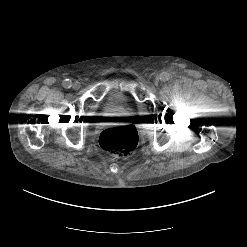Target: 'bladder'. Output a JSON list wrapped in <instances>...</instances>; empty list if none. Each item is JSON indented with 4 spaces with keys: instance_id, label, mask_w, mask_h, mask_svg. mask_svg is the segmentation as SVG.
<instances>
[{
    "instance_id": "obj_1",
    "label": "bladder",
    "mask_w": 247,
    "mask_h": 247,
    "mask_svg": "<svg viewBox=\"0 0 247 247\" xmlns=\"http://www.w3.org/2000/svg\"><path fill=\"white\" fill-rule=\"evenodd\" d=\"M121 95L119 92H112L108 98H107V101L106 103L107 104H111V103H114L115 101H117L118 99H120Z\"/></svg>"
}]
</instances>
